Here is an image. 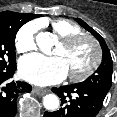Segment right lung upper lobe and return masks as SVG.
<instances>
[{"label": "right lung upper lobe", "instance_id": "right-lung-upper-lobe-1", "mask_svg": "<svg viewBox=\"0 0 117 117\" xmlns=\"http://www.w3.org/2000/svg\"><path fill=\"white\" fill-rule=\"evenodd\" d=\"M25 16L30 20L39 17V14H25Z\"/></svg>", "mask_w": 117, "mask_h": 117}]
</instances>
